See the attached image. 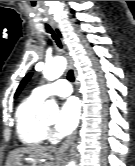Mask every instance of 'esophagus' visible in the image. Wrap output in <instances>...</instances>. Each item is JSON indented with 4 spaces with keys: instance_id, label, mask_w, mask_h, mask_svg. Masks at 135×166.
I'll return each instance as SVG.
<instances>
[{
    "instance_id": "esophagus-1",
    "label": "esophagus",
    "mask_w": 135,
    "mask_h": 166,
    "mask_svg": "<svg viewBox=\"0 0 135 166\" xmlns=\"http://www.w3.org/2000/svg\"><path fill=\"white\" fill-rule=\"evenodd\" d=\"M51 26L54 30V32L56 33V35L58 36V38L60 39L61 43H62V46H63V52L65 54V57L67 59V64H68V67L73 69L74 72H75V77H77V73L74 69V65H73V59L72 57L69 55V49L67 47V45L65 44V41H64V36H63V33L59 27V25L55 22H51ZM75 137H76V133H74L73 135H71L67 141L60 146L59 148V151H65L72 143L73 141L75 140Z\"/></svg>"
}]
</instances>
